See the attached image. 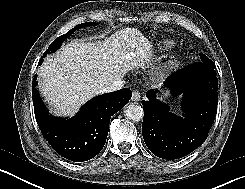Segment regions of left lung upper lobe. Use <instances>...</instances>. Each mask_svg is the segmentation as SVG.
<instances>
[{
  "label": "left lung upper lobe",
  "instance_id": "5c2ea615",
  "mask_svg": "<svg viewBox=\"0 0 245 189\" xmlns=\"http://www.w3.org/2000/svg\"><path fill=\"white\" fill-rule=\"evenodd\" d=\"M200 59H201V62H204L208 65H210L212 68H215V63L209 59L206 55H204L203 53H200Z\"/></svg>",
  "mask_w": 245,
  "mask_h": 189
}]
</instances>
